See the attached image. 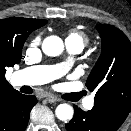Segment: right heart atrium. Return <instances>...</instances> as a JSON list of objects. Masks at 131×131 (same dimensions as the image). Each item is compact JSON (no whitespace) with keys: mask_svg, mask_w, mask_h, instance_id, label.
Masks as SVG:
<instances>
[{"mask_svg":"<svg viewBox=\"0 0 131 131\" xmlns=\"http://www.w3.org/2000/svg\"><path fill=\"white\" fill-rule=\"evenodd\" d=\"M41 43V36L37 35L33 37L29 42V49H36Z\"/></svg>","mask_w":131,"mask_h":131,"instance_id":"right-heart-atrium-1","label":"right heart atrium"}]
</instances>
